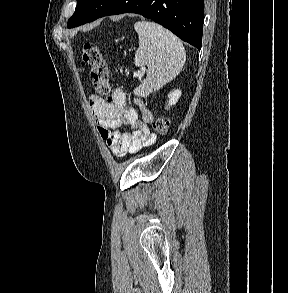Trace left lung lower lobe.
<instances>
[{
  "label": "left lung lower lobe",
  "instance_id": "obj_1",
  "mask_svg": "<svg viewBox=\"0 0 288 293\" xmlns=\"http://www.w3.org/2000/svg\"><path fill=\"white\" fill-rule=\"evenodd\" d=\"M136 13L201 49L204 0H116L100 17Z\"/></svg>",
  "mask_w": 288,
  "mask_h": 293
}]
</instances>
